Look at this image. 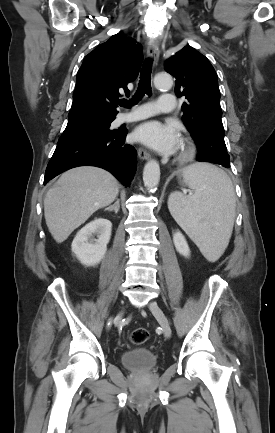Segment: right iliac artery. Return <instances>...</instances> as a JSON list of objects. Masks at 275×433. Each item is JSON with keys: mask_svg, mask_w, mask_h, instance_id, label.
Masks as SVG:
<instances>
[{"mask_svg": "<svg viewBox=\"0 0 275 433\" xmlns=\"http://www.w3.org/2000/svg\"><path fill=\"white\" fill-rule=\"evenodd\" d=\"M111 325V320L108 322V327Z\"/></svg>", "mask_w": 275, "mask_h": 433, "instance_id": "1", "label": "right iliac artery"}]
</instances>
